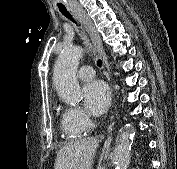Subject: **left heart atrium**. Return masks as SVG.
Masks as SVG:
<instances>
[{"label":"left heart atrium","mask_w":177,"mask_h":169,"mask_svg":"<svg viewBox=\"0 0 177 169\" xmlns=\"http://www.w3.org/2000/svg\"><path fill=\"white\" fill-rule=\"evenodd\" d=\"M83 97L86 109L93 115L103 114L110 103L108 86L100 80L91 81L83 87Z\"/></svg>","instance_id":"obj_1"}]
</instances>
